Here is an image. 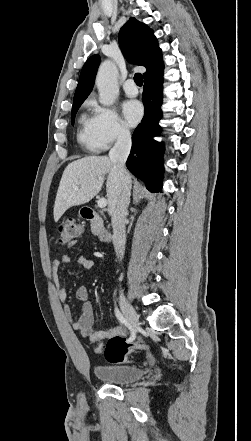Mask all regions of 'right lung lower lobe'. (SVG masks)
Listing matches in <instances>:
<instances>
[{
    "label": "right lung lower lobe",
    "instance_id": "right-lung-lower-lobe-1",
    "mask_svg": "<svg viewBox=\"0 0 251 441\" xmlns=\"http://www.w3.org/2000/svg\"><path fill=\"white\" fill-rule=\"evenodd\" d=\"M162 83L163 69L144 78L142 100L145 114L132 135L131 153L126 162L129 171L151 192L162 191L164 147L153 139L161 131L158 121L162 117Z\"/></svg>",
    "mask_w": 251,
    "mask_h": 441
}]
</instances>
